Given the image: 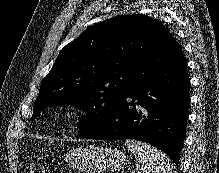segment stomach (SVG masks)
Returning <instances> with one entry per match:
<instances>
[{
  "label": "stomach",
  "mask_w": 219,
  "mask_h": 173,
  "mask_svg": "<svg viewBox=\"0 0 219 173\" xmlns=\"http://www.w3.org/2000/svg\"><path fill=\"white\" fill-rule=\"evenodd\" d=\"M65 161L85 173L121 170L128 162L122 151L95 146L73 148L65 154Z\"/></svg>",
  "instance_id": "stomach-1"
}]
</instances>
